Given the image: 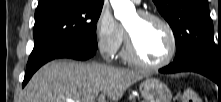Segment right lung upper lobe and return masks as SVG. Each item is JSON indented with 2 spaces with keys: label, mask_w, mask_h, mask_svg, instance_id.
Here are the masks:
<instances>
[{
  "label": "right lung upper lobe",
  "mask_w": 221,
  "mask_h": 102,
  "mask_svg": "<svg viewBox=\"0 0 221 102\" xmlns=\"http://www.w3.org/2000/svg\"><path fill=\"white\" fill-rule=\"evenodd\" d=\"M48 1H51V0H40L38 5H42L44 3H47ZM85 1L89 3H103L104 0H85Z\"/></svg>",
  "instance_id": "right-lung-upper-lobe-1"
}]
</instances>
